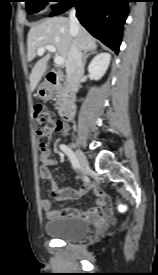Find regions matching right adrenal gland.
<instances>
[{"label": "right adrenal gland", "mask_w": 158, "mask_h": 275, "mask_svg": "<svg viewBox=\"0 0 158 275\" xmlns=\"http://www.w3.org/2000/svg\"><path fill=\"white\" fill-rule=\"evenodd\" d=\"M96 50L93 49V50H90V51H84L83 53V64L86 65V61H87V58L90 56V55H93V54H96Z\"/></svg>", "instance_id": "obj_1"}]
</instances>
